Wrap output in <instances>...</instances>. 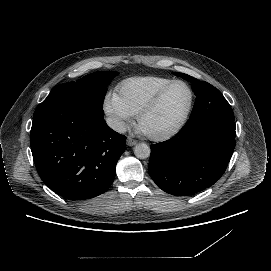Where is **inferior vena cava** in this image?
<instances>
[{
	"instance_id": "obj_1",
	"label": "inferior vena cava",
	"mask_w": 271,
	"mask_h": 271,
	"mask_svg": "<svg viewBox=\"0 0 271 271\" xmlns=\"http://www.w3.org/2000/svg\"><path fill=\"white\" fill-rule=\"evenodd\" d=\"M108 126L114 131L124 134L127 131V126L124 121L117 118H108L107 119Z\"/></svg>"
}]
</instances>
